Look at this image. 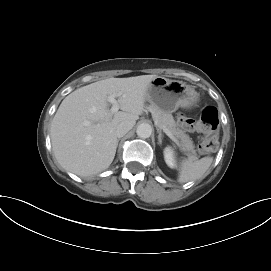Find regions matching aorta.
<instances>
[{"mask_svg":"<svg viewBox=\"0 0 271 271\" xmlns=\"http://www.w3.org/2000/svg\"><path fill=\"white\" fill-rule=\"evenodd\" d=\"M136 133H137L138 137H140L142 139L149 138L152 134V127L148 123H142V124L138 125Z\"/></svg>","mask_w":271,"mask_h":271,"instance_id":"762f6f07","label":"aorta"}]
</instances>
